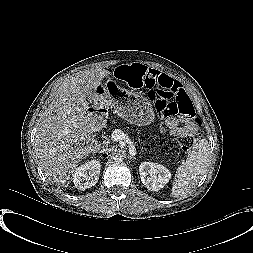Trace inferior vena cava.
<instances>
[{
  "mask_svg": "<svg viewBox=\"0 0 253 253\" xmlns=\"http://www.w3.org/2000/svg\"><path fill=\"white\" fill-rule=\"evenodd\" d=\"M112 150L113 148L106 146L105 148L102 149V152L107 153V152H111Z\"/></svg>",
  "mask_w": 253,
  "mask_h": 253,
  "instance_id": "inferior-vena-cava-1",
  "label": "inferior vena cava"
}]
</instances>
